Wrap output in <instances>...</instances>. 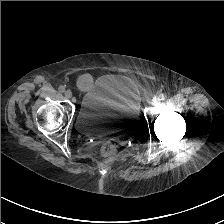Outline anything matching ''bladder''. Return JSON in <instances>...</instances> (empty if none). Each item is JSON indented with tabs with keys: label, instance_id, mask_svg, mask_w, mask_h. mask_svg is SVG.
Masks as SVG:
<instances>
[{
	"label": "bladder",
	"instance_id": "1",
	"mask_svg": "<svg viewBox=\"0 0 224 224\" xmlns=\"http://www.w3.org/2000/svg\"><path fill=\"white\" fill-rule=\"evenodd\" d=\"M136 96L114 74L98 77L84 93L76 114L77 131L85 136L126 139L138 129Z\"/></svg>",
	"mask_w": 224,
	"mask_h": 224
}]
</instances>
